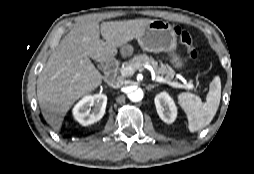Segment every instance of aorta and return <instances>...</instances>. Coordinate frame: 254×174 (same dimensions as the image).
<instances>
[{
  "instance_id": "1",
  "label": "aorta",
  "mask_w": 254,
  "mask_h": 174,
  "mask_svg": "<svg viewBox=\"0 0 254 174\" xmlns=\"http://www.w3.org/2000/svg\"><path fill=\"white\" fill-rule=\"evenodd\" d=\"M128 98L133 102H139L143 99L144 93L141 88L137 86H131L127 91Z\"/></svg>"
}]
</instances>
